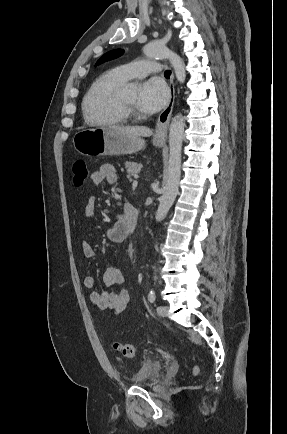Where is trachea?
I'll list each match as a JSON object with an SVG mask.
<instances>
[{"label":"trachea","instance_id":"1","mask_svg":"<svg viewBox=\"0 0 287 434\" xmlns=\"http://www.w3.org/2000/svg\"><path fill=\"white\" fill-rule=\"evenodd\" d=\"M170 75H171V71H170V70H166V71L164 72V76H165V77L169 78Z\"/></svg>","mask_w":287,"mask_h":434}]
</instances>
